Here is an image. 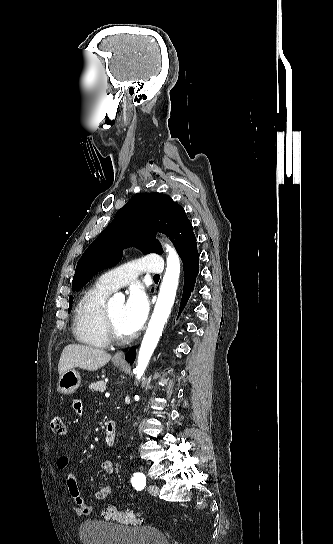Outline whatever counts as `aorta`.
Returning a JSON list of instances; mask_svg holds the SVG:
<instances>
[{"label": "aorta", "instance_id": "aorta-1", "mask_svg": "<svg viewBox=\"0 0 333 544\" xmlns=\"http://www.w3.org/2000/svg\"><path fill=\"white\" fill-rule=\"evenodd\" d=\"M166 251L168 252V257L165 275L161 283L152 317L149 321L148 328L140 346L137 367L134 370L138 379H140L144 374L150 358L162 335L164 325L174 304L178 287L180 275L179 257L174 248H172L170 245H166ZM116 301H124V295L117 293L110 299V303Z\"/></svg>", "mask_w": 333, "mask_h": 544}]
</instances>
